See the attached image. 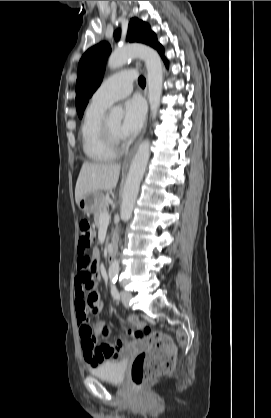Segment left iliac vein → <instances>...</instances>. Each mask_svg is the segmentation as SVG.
<instances>
[{
	"label": "left iliac vein",
	"mask_w": 271,
	"mask_h": 418,
	"mask_svg": "<svg viewBox=\"0 0 271 418\" xmlns=\"http://www.w3.org/2000/svg\"><path fill=\"white\" fill-rule=\"evenodd\" d=\"M132 298V294L128 291H122L121 292V301L124 304V306L129 307V302Z\"/></svg>",
	"instance_id": "1"
}]
</instances>
